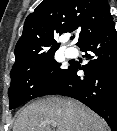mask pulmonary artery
Wrapping results in <instances>:
<instances>
[{
  "label": "pulmonary artery",
  "instance_id": "e3ab8cb5",
  "mask_svg": "<svg viewBox=\"0 0 117 131\" xmlns=\"http://www.w3.org/2000/svg\"><path fill=\"white\" fill-rule=\"evenodd\" d=\"M66 55L68 57H74L76 55V51L72 48H69V49L66 50Z\"/></svg>",
  "mask_w": 117,
  "mask_h": 131
}]
</instances>
